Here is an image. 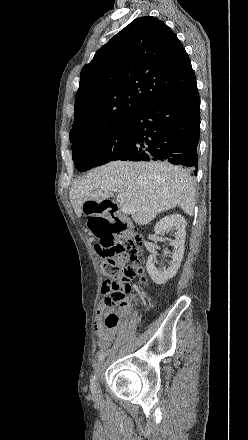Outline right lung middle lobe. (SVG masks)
I'll return each instance as SVG.
<instances>
[{
    "label": "right lung middle lobe",
    "mask_w": 248,
    "mask_h": 440,
    "mask_svg": "<svg viewBox=\"0 0 248 440\" xmlns=\"http://www.w3.org/2000/svg\"><path fill=\"white\" fill-rule=\"evenodd\" d=\"M132 124L127 121L95 138L72 144V157L81 172L118 160L128 149Z\"/></svg>",
    "instance_id": "obj_1"
}]
</instances>
